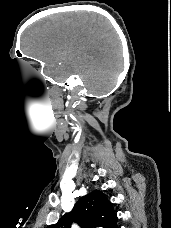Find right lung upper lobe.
<instances>
[{
  "instance_id": "1",
  "label": "right lung upper lobe",
  "mask_w": 171,
  "mask_h": 228,
  "mask_svg": "<svg viewBox=\"0 0 171 228\" xmlns=\"http://www.w3.org/2000/svg\"><path fill=\"white\" fill-rule=\"evenodd\" d=\"M72 221L78 222L83 228H118L112 203L98 190L82 197L70 213L48 228H70Z\"/></svg>"
}]
</instances>
